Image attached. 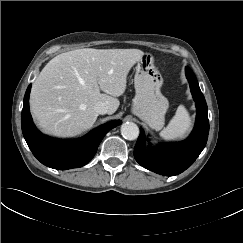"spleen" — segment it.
Wrapping results in <instances>:
<instances>
[{"instance_id":"spleen-1","label":"spleen","mask_w":243,"mask_h":243,"mask_svg":"<svg viewBox=\"0 0 243 243\" xmlns=\"http://www.w3.org/2000/svg\"><path fill=\"white\" fill-rule=\"evenodd\" d=\"M191 124L188 111L180 105L167 127L161 131L160 136L165 140L182 138L190 130Z\"/></svg>"}]
</instances>
